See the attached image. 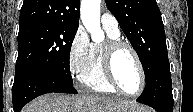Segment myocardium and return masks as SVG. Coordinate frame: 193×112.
I'll use <instances>...</instances> for the list:
<instances>
[{
	"instance_id": "obj_1",
	"label": "myocardium",
	"mask_w": 193,
	"mask_h": 112,
	"mask_svg": "<svg viewBox=\"0 0 193 112\" xmlns=\"http://www.w3.org/2000/svg\"><path fill=\"white\" fill-rule=\"evenodd\" d=\"M122 49H127L132 53L139 69L140 87L136 93L126 92L117 81L114 73V59ZM102 67L106 80L118 93L128 97H137L144 91L146 85L145 70L138 52L131 44L121 39H109L102 47Z\"/></svg>"
}]
</instances>
